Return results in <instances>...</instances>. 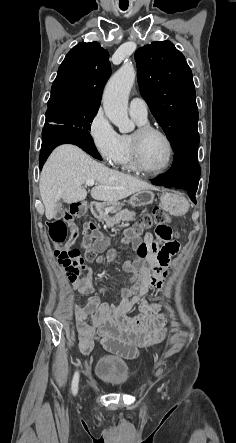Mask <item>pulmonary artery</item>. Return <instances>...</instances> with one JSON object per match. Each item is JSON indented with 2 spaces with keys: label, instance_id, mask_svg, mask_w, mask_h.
<instances>
[{
  "label": "pulmonary artery",
  "instance_id": "e3ab8cb5",
  "mask_svg": "<svg viewBox=\"0 0 236 443\" xmlns=\"http://www.w3.org/2000/svg\"><path fill=\"white\" fill-rule=\"evenodd\" d=\"M129 113L137 120H147L148 105L146 101L141 97H133L129 104Z\"/></svg>",
  "mask_w": 236,
  "mask_h": 443
}]
</instances>
